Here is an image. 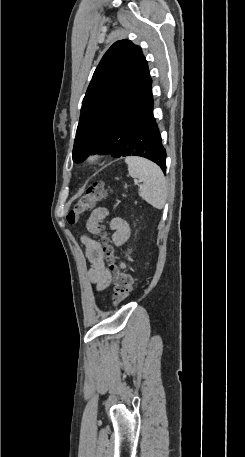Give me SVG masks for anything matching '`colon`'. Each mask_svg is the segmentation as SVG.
<instances>
[{
  "instance_id": "obj_1",
  "label": "colon",
  "mask_w": 245,
  "mask_h": 457,
  "mask_svg": "<svg viewBox=\"0 0 245 457\" xmlns=\"http://www.w3.org/2000/svg\"><path fill=\"white\" fill-rule=\"evenodd\" d=\"M107 190L103 182L91 184L84 195L74 204L73 208L67 214L69 224H74L78 219L98 201L103 199ZM102 254L110 264L113 272V301L120 303L129 297L134 287V279L130 273L121 269L116 264V253L114 247L109 243L105 233L101 234Z\"/></svg>"
}]
</instances>
